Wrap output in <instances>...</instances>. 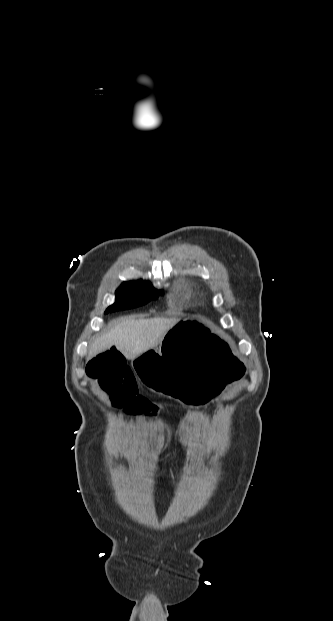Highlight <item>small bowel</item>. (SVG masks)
Returning <instances> with one entry per match:
<instances>
[{
    "label": "small bowel",
    "mask_w": 333,
    "mask_h": 621,
    "mask_svg": "<svg viewBox=\"0 0 333 621\" xmlns=\"http://www.w3.org/2000/svg\"><path fill=\"white\" fill-rule=\"evenodd\" d=\"M86 375L97 381L113 406L132 415L157 414L159 407L138 393V386L125 355L111 347L98 353L86 365Z\"/></svg>",
    "instance_id": "c3829d8e"
}]
</instances>
